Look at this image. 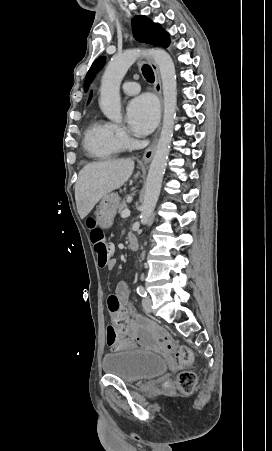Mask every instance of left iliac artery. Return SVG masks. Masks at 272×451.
<instances>
[{
    "label": "left iliac artery",
    "mask_w": 272,
    "mask_h": 451,
    "mask_svg": "<svg viewBox=\"0 0 272 451\" xmlns=\"http://www.w3.org/2000/svg\"><path fill=\"white\" fill-rule=\"evenodd\" d=\"M137 293L141 296V297H146L147 296V292L145 290V288L142 285H138L137 286Z\"/></svg>",
    "instance_id": "obj_1"
}]
</instances>
